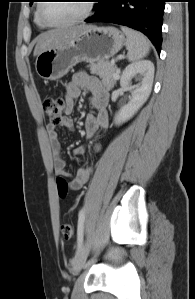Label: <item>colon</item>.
<instances>
[{
	"instance_id": "1",
	"label": "colon",
	"mask_w": 195,
	"mask_h": 299,
	"mask_svg": "<svg viewBox=\"0 0 195 299\" xmlns=\"http://www.w3.org/2000/svg\"><path fill=\"white\" fill-rule=\"evenodd\" d=\"M42 109L52 123L58 124L65 110V102L61 97L47 96L43 99ZM57 189L59 196L65 198L69 192L68 182L64 178H58ZM61 232L65 238H71L74 235V226L71 223H64Z\"/></svg>"
}]
</instances>
